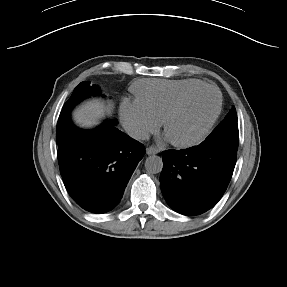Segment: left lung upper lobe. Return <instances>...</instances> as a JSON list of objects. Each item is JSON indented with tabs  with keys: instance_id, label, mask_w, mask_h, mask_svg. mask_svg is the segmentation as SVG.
Masks as SVG:
<instances>
[{
	"instance_id": "1",
	"label": "left lung upper lobe",
	"mask_w": 287,
	"mask_h": 287,
	"mask_svg": "<svg viewBox=\"0 0 287 287\" xmlns=\"http://www.w3.org/2000/svg\"><path fill=\"white\" fill-rule=\"evenodd\" d=\"M205 140L211 142L212 144L221 146L232 154L237 155L239 132L235 107L231 109L224 120Z\"/></svg>"
}]
</instances>
